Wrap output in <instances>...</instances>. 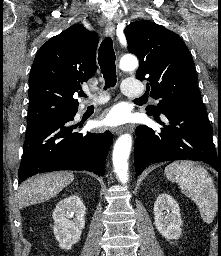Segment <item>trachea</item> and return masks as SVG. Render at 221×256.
Returning a JSON list of instances; mask_svg holds the SVG:
<instances>
[{
	"label": "trachea",
	"mask_w": 221,
	"mask_h": 256,
	"mask_svg": "<svg viewBox=\"0 0 221 256\" xmlns=\"http://www.w3.org/2000/svg\"><path fill=\"white\" fill-rule=\"evenodd\" d=\"M115 52L113 49L112 39L110 37L105 38L100 47L98 53V63L100 65L101 72L105 79L104 89L114 87L116 85V65H115ZM82 97H87L83 92L79 94ZM144 99L143 97L136 100Z\"/></svg>",
	"instance_id": "3493384b"
}]
</instances>
